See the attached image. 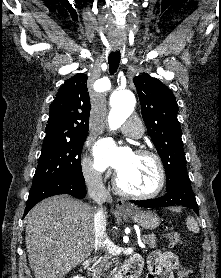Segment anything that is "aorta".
Returning <instances> with one entry per match:
<instances>
[{
    "label": "aorta",
    "mask_w": 221,
    "mask_h": 278,
    "mask_svg": "<svg viewBox=\"0 0 221 278\" xmlns=\"http://www.w3.org/2000/svg\"><path fill=\"white\" fill-rule=\"evenodd\" d=\"M110 103L112 108L108 115V124L111 130H116L132 114L136 100L131 91L123 90L115 92Z\"/></svg>",
    "instance_id": "762f6f07"
}]
</instances>
